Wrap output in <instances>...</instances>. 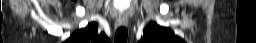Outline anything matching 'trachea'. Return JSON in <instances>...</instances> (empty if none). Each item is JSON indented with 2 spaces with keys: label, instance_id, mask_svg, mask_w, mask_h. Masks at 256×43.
I'll list each match as a JSON object with an SVG mask.
<instances>
[{
  "label": "trachea",
  "instance_id": "3493384b",
  "mask_svg": "<svg viewBox=\"0 0 256 43\" xmlns=\"http://www.w3.org/2000/svg\"><path fill=\"white\" fill-rule=\"evenodd\" d=\"M128 30L121 26L117 29L115 34V43H127Z\"/></svg>",
  "mask_w": 256,
  "mask_h": 43
}]
</instances>
